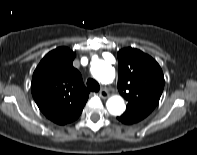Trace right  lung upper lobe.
I'll return each instance as SVG.
<instances>
[{
    "label": "right lung upper lobe",
    "instance_id": "right-lung-upper-lobe-1",
    "mask_svg": "<svg viewBox=\"0 0 197 155\" xmlns=\"http://www.w3.org/2000/svg\"><path fill=\"white\" fill-rule=\"evenodd\" d=\"M75 53L67 47L49 52L33 73L31 91L41 112L59 125L75 121L89 91L72 65Z\"/></svg>",
    "mask_w": 197,
    "mask_h": 155
}]
</instances>
